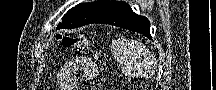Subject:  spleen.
<instances>
[{
    "label": "spleen",
    "instance_id": "obj_1",
    "mask_svg": "<svg viewBox=\"0 0 216 90\" xmlns=\"http://www.w3.org/2000/svg\"><path fill=\"white\" fill-rule=\"evenodd\" d=\"M112 50L121 58L125 70L136 72L139 76H146L152 62L151 52L144 44L135 40H120L113 42Z\"/></svg>",
    "mask_w": 216,
    "mask_h": 90
}]
</instances>
